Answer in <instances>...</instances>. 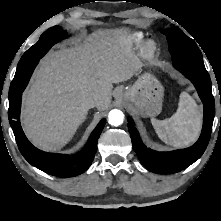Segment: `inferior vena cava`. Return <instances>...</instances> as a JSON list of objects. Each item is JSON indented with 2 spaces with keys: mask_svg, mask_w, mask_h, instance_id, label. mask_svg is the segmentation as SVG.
<instances>
[{
  "mask_svg": "<svg viewBox=\"0 0 221 221\" xmlns=\"http://www.w3.org/2000/svg\"><path fill=\"white\" fill-rule=\"evenodd\" d=\"M98 103H99V98L97 96H92L87 101V105L89 108L96 107Z\"/></svg>",
  "mask_w": 221,
  "mask_h": 221,
  "instance_id": "602c4592",
  "label": "inferior vena cava"
}]
</instances>
